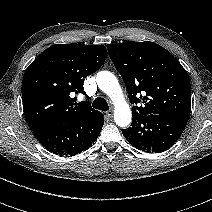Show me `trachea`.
<instances>
[{
	"label": "trachea",
	"mask_w": 212,
	"mask_h": 212,
	"mask_svg": "<svg viewBox=\"0 0 212 212\" xmlns=\"http://www.w3.org/2000/svg\"><path fill=\"white\" fill-rule=\"evenodd\" d=\"M93 108L102 110V111H107L109 109L108 103L106 100L102 97H97L93 103H92Z\"/></svg>",
	"instance_id": "obj_1"
}]
</instances>
